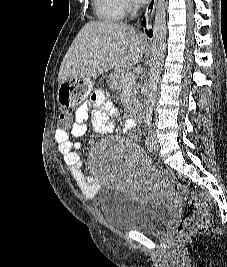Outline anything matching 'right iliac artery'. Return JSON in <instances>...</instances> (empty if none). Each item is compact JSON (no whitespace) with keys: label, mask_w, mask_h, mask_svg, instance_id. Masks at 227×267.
I'll list each match as a JSON object with an SVG mask.
<instances>
[{"label":"right iliac artery","mask_w":227,"mask_h":267,"mask_svg":"<svg viewBox=\"0 0 227 267\" xmlns=\"http://www.w3.org/2000/svg\"><path fill=\"white\" fill-rule=\"evenodd\" d=\"M146 146H147V148H148V150H149L150 152L153 151V149H154V145H153V141L151 140V137H150L149 134L147 135Z\"/></svg>","instance_id":"82829eb1"}]
</instances>
